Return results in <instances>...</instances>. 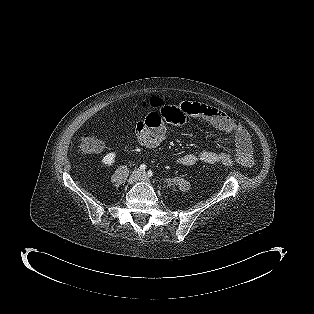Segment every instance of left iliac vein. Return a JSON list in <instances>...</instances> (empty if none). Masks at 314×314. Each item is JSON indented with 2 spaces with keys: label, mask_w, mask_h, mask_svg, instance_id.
Returning a JSON list of instances; mask_svg holds the SVG:
<instances>
[{
  "label": "left iliac vein",
  "mask_w": 314,
  "mask_h": 314,
  "mask_svg": "<svg viewBox=\"0 0 314 314\" xmlns=\"http://www.w3.org/2000/svg\"><path fill=\"white\" fill-rule=\"evenodd\" d=\"M139 180L146 182V183L150 182L145 172H141Z\"/></svg>",
  "instance_id": "4c4485c4"
}]
</instances>
